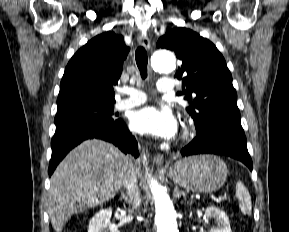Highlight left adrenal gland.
Segmentation results:
<instances>
[{
	"label": "left adrenal gland",
	"mask_w": 289,
	"mask_h": 232,
	"mask_svg": "<svg viewBox=\"0 0 289 232\" xmlns=\"http://www.w3.org/2000/svg\"><path fill=\"white\" fill-rule=\"evenodd\" d=\"M173 196L174 198L179 199L181 196L185 197V193L183 191H180L179 188L176 186L174 188Z\"/></svg>",
	"instance_id": "1"
}]
</instances>
